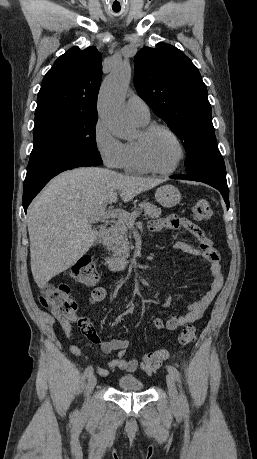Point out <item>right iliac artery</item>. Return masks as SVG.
I'll return each instance as SVG.
<instances>
[{"mask_svg": "<svg viewBox=\"0 0 257 459\" xmlns=\"http://www.w3.org/2000/svg\"><path fill=\"white\" fill-rule=\"evenodd\" d=\"M93 374V367L88 366L84 371V377L88 378Z\"/></svg>", "mask_w": 257, "mask_h": 459, "instance_id": "obj_1", "label": "right iliac artery"}]
</instances>
